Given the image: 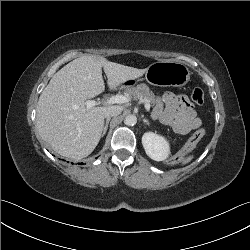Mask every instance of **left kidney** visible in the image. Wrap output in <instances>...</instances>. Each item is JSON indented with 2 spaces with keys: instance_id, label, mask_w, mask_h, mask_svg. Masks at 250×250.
Returning a JSON list of instances; mask_svg holds the SVG:
<instances>
[{
  "instance_id": "obj_1",
  "label": "left kidney",
  "mask_w": 250,
  "mask_h": 250,
  "mask_svg": "<svg viewBox=\"0 0 250 250\" xmlns=\"http://www.w3.org/2000/svg\"><path fill=\"white\" fill-rule=\"evenodd\" d=\"M142 145L146 154L155 161L165 160L170 153V146L167 140L153 132L144 133Z\"/></svg>"
}]
</instances>
